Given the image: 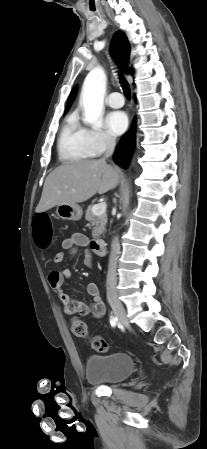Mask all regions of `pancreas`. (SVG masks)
I'll return each mask as SVG.
<instances>
[{"mask_svg":"<svg viewBox=\"0 0 207 449\" xmlns=\"http://www.w3.org/2000/svg\"><path fill=\"white\" fill-rule=\"evenodd\" d=\"M93 206H89L86 210L85 219L93 226L92 237L98 238L105 231L107 223L106 213L102 215H96L93 213Z\"/></svg>","mask_w":207,"mask_h":449,"instance_id":"1","label":"pancreas"}]
</instances>
